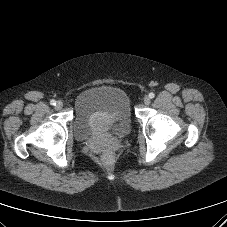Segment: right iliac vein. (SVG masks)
I'll list each match as a JSON object with an SVG mask.
<instances>
[{
  "label": "right iliac vein",
  "instance_id": "1",
  "mask_svg": "<svg viewBox=\"0 0 227 227\" xmlns=\"http://www.w3.org/2000/svg\"><path fill=\"white\" fill-rule=\"evenodd\" d=\"M62 107H63V102H62V101H58V102L56 103L55 108H56L57 110H60V109H62Z\"/></svg>",
  "mask_w": 227,
  "mask_h": 227
}]
</instances>
